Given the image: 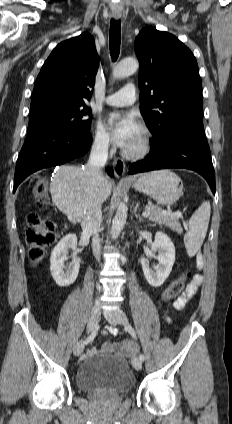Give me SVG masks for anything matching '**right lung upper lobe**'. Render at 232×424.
<instances>
[{
	"label": "right lung upper lobe",
	"instance_id": "cb5924a9",
	"mask_svg": "<svg viewBox=\"0 0 232 424\" xmlns=\"http://www.w3.org/2000/svg\"><path fill=\"white\" fill-rule=\"evenodd\" d=\"M99 58L89 33L57 45L36 79L31 108L49 103L85 105L95 84Z\"/></svg>",
	"mask_w": 232,
	"mask_h": 424
}]
</instances>
